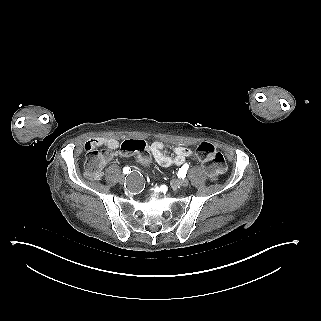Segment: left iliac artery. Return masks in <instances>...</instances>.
<instances>
[{
	"mask_svg": "<svg viewBox=\"0 0 321 321\" xmlns=\"http://www.w3.org/2000/svg\"><path fill=\"white\" fill-rule=\"evenodd\" d=\"M189 165L188 164H184L181 168L180 171L184 174H186V171L188 170Z\"/></svg>",
	"mask_w": 321,
	"mask_h": 321,
	"instance_id": "1",
	"label": "left iliac artery"
}]
</instances>
